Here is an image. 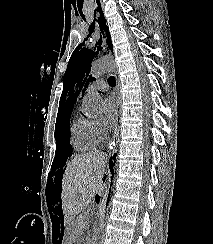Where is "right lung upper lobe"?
I'll list each match as a JSON object with an SVG mask.
<instances>
[{"instance_id":"right-lung-upper-lobe-1","label":"right lung upper lobe","mask_w":213,"mask_h":244,"mask_svg":"<svg viewBox=\"0 0 213 244\" xmlns=\"http://www.w3.org/2000/svg\"><path fill=\"white\" fill-rule=\"evenodd\" d=\"M75 102H76V98H75V99H74V100L67 106L66 109L63 110V112H60V111H59L58 117H60V116H62V115H64V114H66V113L69 112V111H72Z\"/></svg>"}]
</instances>
